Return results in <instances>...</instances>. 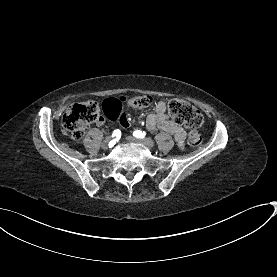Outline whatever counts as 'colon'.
<instances>
[{"mask_svg": "<svg viewBox=\"0 0 277 277\" xmlns=\"http://www.w3.org/2000/svg\"><path fill=\"white\" fill-rule=\"evenodd\" d=\"M128 108H147L153 104V98L150 96L122 97ZM99 103L96 100L89 99L83 104L74 103L68 108L62 116V125L66 133L74 141L83 138L87 125L96 120H101L103 114H99ZM168 113L178 123L191 129L187 136V143L191 147H198L201 144V133L197 130L203 123V115L189 103L174 98L168 102Z\"/></svg>", "mask_w": 277, "mask_h": 277, "instance_id": "1", "label": "colon"}]
</instances>
